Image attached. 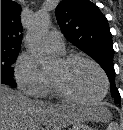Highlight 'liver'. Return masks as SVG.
Here are the masks:
<instances>
[{
	"label": "liver",
	"mask_w": 123,
	"mask_h": 130,
	"mask_svg": "<svg viewBox=\"0 0 123 130\" xmlns=\"http://www.w3.org/2000/svg\"><path fill=\"white\" fill-rule=\"evenodd\" d=\"M99 109L32 100L1 84V130H61L68 125L97 120Z\"/></svg>",
	"instance_id": "liver-1"
}]
</instances>
